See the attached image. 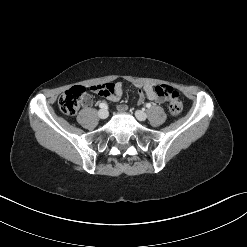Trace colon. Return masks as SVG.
I'll return each instance as SVG.
<instances>
[{"label":"colon","instance_id":"5ec220e1","mask_svg":"<svg viewBox=\"0 0 247 247\" xmlns=\"http://www.w3.org/2000/svg\"><path fill=\"white\" fill-rule=\"evenodd\" d=\"M139 93L136 97V101L134 105L137 108H140L143 105V101L145 100V95L147 98L156 101V103L163 105L167 103L169 97V112L173 116H178L183 110V103L180 98V95L177 91L173 90L172 87L162 84L157 87H151L147 85L144 88V93L142 88L137 84L135 86ZM108 88V84L95 85L91 87V90L97 93H102L105 89ZM86 89L82 86H74L69 90L65 91L58 100V105L62 113L65 115H74L80 105L85 101Z\"/></svg>","mask_w":247,"mask_h":247}]
</instances>
